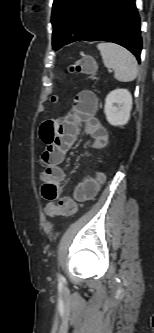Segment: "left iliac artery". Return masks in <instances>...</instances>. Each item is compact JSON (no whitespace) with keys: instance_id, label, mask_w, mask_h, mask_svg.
Instances as JSON below:
<instances>
[{"instance_id":"obj_1","label":"left iliac artery","mask_w":154,"mask_h":333,"mask_svg":"<svg viewBox=\"0 0 154 333\" xmlns=\"http://www.w3.org/2000/svg\"><path fill=\"white\" fill-rule=\"evenodd\" d=\"M59 279H62L63 277L61 275H58Z\"/></svg>"}]
</instances>
